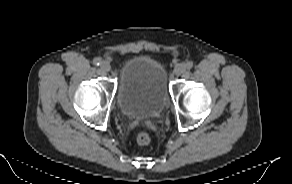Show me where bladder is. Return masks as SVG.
Returning a JSON list of instances; mask_svg holds the SVG:
<instances>
[{
    "instance_id": "1",
    "label": "bladder",
    "mask_w": 292,
    "mask_h": 184,
    "mask_svg": "<svg viewBox=\"0 0 292 184\" xmlns=\"http://www.w3.org/2000/svg\"><path fill=\"white\" fill-rule=\"evenodd\" d=\"M169 100L164 66L148 56H134L120 69L117 103L122 114L130 118L159 116Z\"/></svg>"
}]
</instances>
